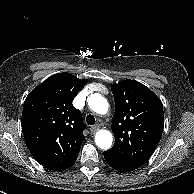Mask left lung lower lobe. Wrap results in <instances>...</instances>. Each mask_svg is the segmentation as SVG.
I'll use <instances>...</instances> for the list:
<instances>
[{
    "label": "left lung lower lobe",
    "instance_id": "0a47b994",
    "mask_svg": "<svg viewBox=\"0 0 194 194\" xmlns=\"http://www.w3.org/2000/svg\"><path fill=\"white\" fill-rule=\"evenodd\" d=\"M104 157L109 166L121 172H130L140 167L138 165L123 161L107 152H104Z\"/></svg>",
    "mask_w": 194,
    "mask_h": 194
}]
</instances>
